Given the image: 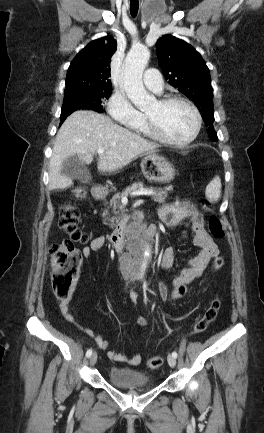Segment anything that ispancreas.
<instances>
[{
    "label": "pancreas",
    "mask_w": 264,
    "mask_h": 433,
    "mask_svg": "<svg viewBox=\"0 0 264 433\" xmlns=\"http://www.w3.org/2000/svg\"><path fill=\"white\" fill-rule=\"evenodd\" d=\"M141 189H144L143 183L142 182H135L131 186H128L124 191H122V193L114 194V196L110 200V207L112 208V212L114 214V216L109 220L110 227L114 228L116 226L115 222L117 223L118 226L122 225V222H120L119 220L122 216H124L125 208L120 203V199L124 196L127 197L128 195H132L134 192L139 191ZM150 190L155 192V194L152 195L155 202H158V203H164L165 202V199L167 197V190L166 189L150 187ZM108 215H109L108 210L107 209L104 210L102 216L105 218Z\"/></svg>",
    "instance_id": "obj_1"
}]
</instances>
